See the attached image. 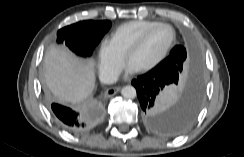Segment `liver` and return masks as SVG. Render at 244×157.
Here are the masks:
<instances>
[{"mask_svg": "<svg viewBox=\"0 0 244 157\" xmlns=\"http://www.w3.org/2000/svg\"><path fill=\"white\" fill-rule=\"evenodd\" d=\"M44 77L59 101L80 103L95 87L94 60L82 59L64 47L52 46L45 54Z\"/></svg>", "mask_w": 244, "mask_h": 157, "instance_id": "obj_1", "label": "liver"}]
</instances>
